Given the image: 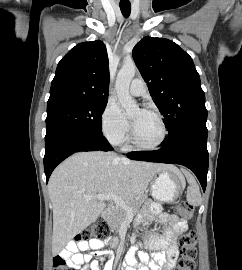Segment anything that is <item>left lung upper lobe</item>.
<instances>
[{
    "label": "left lung upper lobe",
    "instance_id": "1",
    "mask_svg": "<svg viewBox=\"0 0 242 270\" xmlns=\"http://www.w3.org/2000/svg\"><path fill=\"white\" fill-rule=\"evenodd\" d=\"M133 58L166 120L168 137L186 126L206 124L200 77L185 51L168 39L144 37L133 48Z\"/></svg>",
    "mask_w": 242,
    "mask_h": 270
}]
</instances>
